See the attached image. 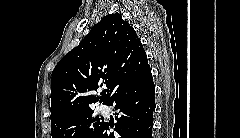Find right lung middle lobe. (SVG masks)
Segmentation results:
<instances>
[{
    "mask_svg": "<svg viewBox=\"0 0 240 138\" xmlns=\"http://www.w3.org/2000/svg\"><path fill=\"white\" fill-rule=\"evenodd\" d=\"M104 121L91 108L74 117L51 124L52 138H94Z\"/></svg>",
    "mask_w": 240,
    "mask_h": 138,
    "instance_id": "obj_1",
    "label": "right lung middle lobe"
}]
</instances>
